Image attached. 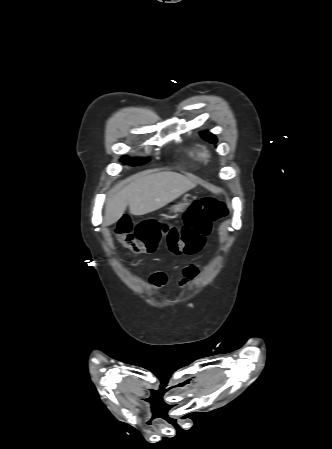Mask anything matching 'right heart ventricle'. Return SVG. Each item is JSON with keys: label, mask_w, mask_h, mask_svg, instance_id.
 Here are the masks:
<instances>
[{"label": "right heart ventricle", "mask_w": 332, "mask_h": 449, "mask_svg": "<svg viewBox=\"0 0 332 449\" xmlns=\"http://www.w3.org/2000/svg\"><path fill=\"white\" fill-rule=\"evenodd\" d=\"M185 152L187 154L188 157H190L192 160L195 161H199L200 160V151L197 147L195 146H189L187 148H185Z\"/></svg>", "instance_id": "1"}]
</instances>
